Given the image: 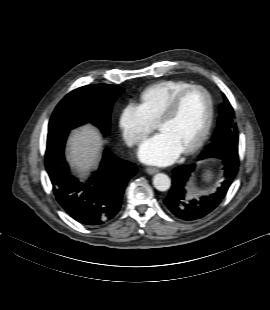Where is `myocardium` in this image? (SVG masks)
<instances>
[{
    "instance_id": "myocardium-1",
    "label": "myocardium",
    "mask_w": 270,
    "mask_h": 310,
    "mask_svg": "<svg viewBox=\"0 0 270 310\" xmlns=\"http://www.w3.org/2000/svg\"><path fill=\"white\" fill-rule=\"evenodd\" d=\"M195 90L202 91L205 94L207 98L208 111H207L206 121H205L202 132L200 133L198 138L188 148L181 151L183 155H189V154L194 153L196 150H198L204 144V142L206 141L210 133L212 123H213V117H214V104H213L212 96L209 93V91L201 85H189L183 88L171 98V100L169 101V103L167 104V106L164 108V110L161 112V114L159 115L157 119V128H158V125L160 123L170 120L175 115L182 98L187 93L191 91H195Z\"/></svg>"
}]
</instances>
